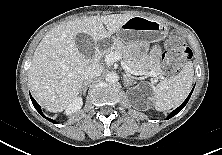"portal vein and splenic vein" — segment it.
Wrapping results in <instances>:
<instances>
[{
	"label": "portal vein and splenic vein",
	"mask_w": 222,
	"mask_h": 155,
	"mask_svg": "<svg viewBox=\"0 0 222 155\" xmlns=\"http://www.w3.org/2000/svg\"><path fill=\"white\" fill-rule=\"evenodd\" d=\"M121 60V65L126 73H134L132 69H130L125 62L122 60V56L118 54L117 52H111L105 56V62L107 64H113L114 62ZM139 74H146L150 77H154L155 79H158L161 77L158 73L155 71H149V72H140Z\"/></svg>",
	"instance_id": "obj_1"
}]
</instances>
